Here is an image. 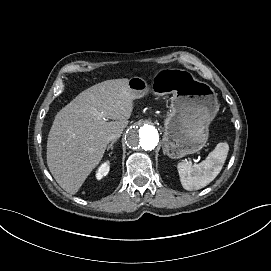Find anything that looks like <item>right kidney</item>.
<instances>
[{
	"label": "right kidney",
	"mask_w": 271,
	"mask_h": 271,
	"mask_svg": "<svg viewBox=\"0 0 271 271\" xmlns=\"http://www.w3.org/2000/svg\"><path fill=\"white\" fill-rule=\"evenodd\" d=\"M109 170H110V162L106 161L102 163L96 172V175H95L96 179L101 180L104 176L108 174Z\"/></svg>",
	"instance_id": "right-kidney-1"
}]
</instances>
